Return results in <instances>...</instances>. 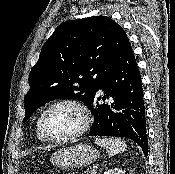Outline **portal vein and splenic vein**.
Here are the masks:
<instances>
[{"label":"portal vein and splenic vein","instance_id":"portal-vein-and-splenic-vein-1","mask_svg":"<svg viewBox=\"0 0 175 174\" xmlns=\"http://www.w3.org/2000/svg\"><path fill=\"white\" fill-rule=\"evenodd\" d=\"M96 173H97L96 168H94V169L91 170V174H96Z\"/></svg>","mask_w":175,"mask_h":174}]
</instances>
